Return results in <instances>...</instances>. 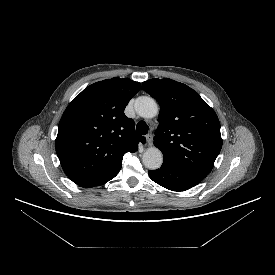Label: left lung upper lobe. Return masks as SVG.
<instances>
[{
    "label": "left lung upper lobe",
    "mask_w": 275,
    "mask_h": 275,
    "mask_svg": "<svg viewBox=\"0 0 275 275\" xmlns=\"http://www.w3.org/2000/svg\"><path fill=\"white\" fill-rule=\"evenodd\" d=\"M143 87L160 105L154 145L163 162L205 178L222 148L214 110L196 91L171 79H150Z\"/></svg>",
    "instance_id": "5c2ea615"
}]
</instances>
